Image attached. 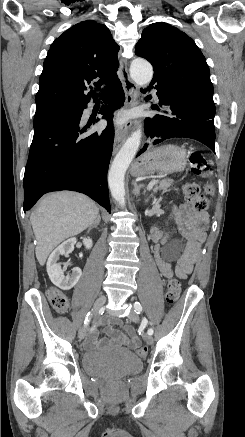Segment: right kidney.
I'll return each mask as SVG.
<instances>
[{
	"label": "right kidney",
	"mask_w": 245,
	"mask_h": 437,
	"mask_svg": "<svg viewBox=\"0 0 245 437\" xmlns=\"http://www.w3.org/2000/svg\"><path fill=\"white\" fill-rule=\"evenodd\" d=\"M76 243V238H70L59 245L49 256L47 261V273L50 280L54 285L59 287L61 290H70L79 281L82 271L80 268L75 267L72 269L70 275L65 276L64 271L61 269V265L58 263L60 255L69 254L74 250V245ZM83 243L86 249L92 247V239L83 238Z\"/></svg>",
	"instance_id": "1"
}]
</instances>
